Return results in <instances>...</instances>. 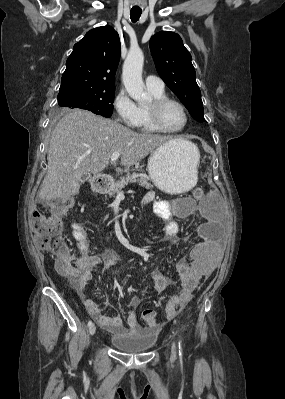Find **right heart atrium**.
Masks as SVG:
<instances>
[{"mask_svg": "<svg viewBox=\"0 0 285 399\" xmlns=\"http://www.w3.org/2000/svg\"><path fill=\"white\" fill-rule=\"evenodd\" d=\"M113 109L117 118L128 127H135L138 123V107L130 96L120 90L114 100Z\"/></svg>", "mask_w": 285, "mask_h": 399, "instance_id": "right-heart-atrium-1", "label": "right heart atrium"}]
</instances>
